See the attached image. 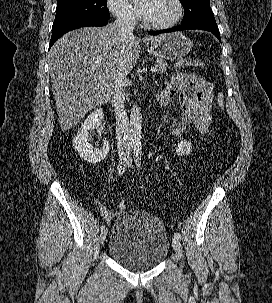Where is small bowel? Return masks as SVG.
Here are the masks:
<instances>
[{
    "label": "small bowel",
    "mask_w": 272,
    "mask_h": 303,
    "mask_svg": "<svg viewBox=\"0 0 272 303\" xmlns=\"http://www.w3.org/2000/svg\"><path fill=\"white\" fill-rule=\"evenodd\" d=\"M165 90L177 97L184 119L176 123L172 132L176 136L187 132L190 124L202 135L212 132L214 102L213 84L195 74L174 73Z\"/></svg>",
    "instance_id": "c3829d8e"
}]
</instances>
